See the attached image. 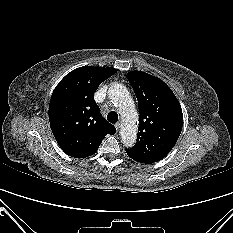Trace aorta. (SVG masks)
Returning <instances> with one entry per match:
<instances>
[{
    "label": "aorta",
    "mask_w": 233,
    "mask_h": 233,
    "mask_svg": "<svg viewBox=\"0 0 233 233\" xmlns=\"http://www.w3.org/2000/svg\"><path fill=\"white\" fill-rule=\"evenodd\" d=\"M108 94L122 118V143L126 147H132L136 142L138 128V113L132 97L127 88L120 83L111 84Z\"/></svg>",
    "instance_id": "1"
}]
</instances>
